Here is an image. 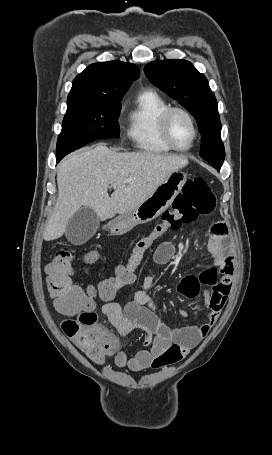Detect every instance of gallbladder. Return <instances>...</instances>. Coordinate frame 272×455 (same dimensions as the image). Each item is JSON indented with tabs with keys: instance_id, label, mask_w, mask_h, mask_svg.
I'll return each instance as SVG.
<instances>
[{
	"instance_id": "obj_1",
	"label": "gallbladder",
	"mask_w": 272,
	"mask_h": 455,
	"mask_svg": "<svg viewBox=\"0 0 272 455\" xmlns=\"http://www.w3.org/2000/svg\"><path fill=\"white\" fill-rule=\"evenodd\" d=\"M99 224L96 212L89 207H82L70 218L65 236L72 244H83L96 233Z\"/></svg>"
}]
</instances>
